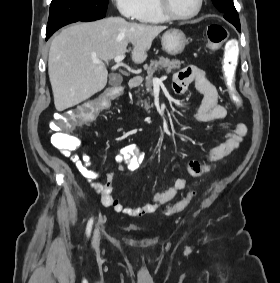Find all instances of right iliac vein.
<instances>
[{"instance_id": "1", "label": "right iliac vein", "mask_w": 280, "mask_h": 283, "mask_svg": "<svg viewBox=\"0 0 280 283\" xmlns=\"http://www.w3.org/2000/svg\"><path fill=\"white\" fill-rule=\"evenodd\" d=\"M99 240H100L99 232L96 231V232H95V236H94V244H95V245H98Z\"/></svg>"}]
</instances>
